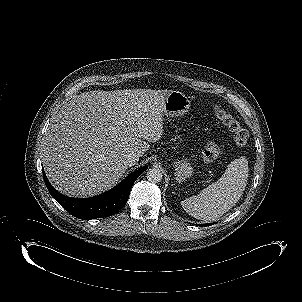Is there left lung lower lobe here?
Listing matches in <instances>:
<instances>
[{
  "label": "left lung lower lobe",
  "mask_w": 302,
  "mask_h": 302,
  "mask_svg": "<svg viewBox=\"0 0 302 302\" xmlns=\"http://www.w3.org/2000/svg\"><path fill=\"white\" fill-rule=\"evenodd\" d=\"M208 225H211V224H205V226H208Z\"/></svg>",
  "instance_id": "left-lung-lower-lobe-1"
}]
</instances>
